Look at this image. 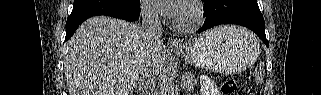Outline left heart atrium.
<instances>
[{"instance_id": "1", "label": "left heart atrium", "mask_w": 321, "mask_h": 95, "mask_svg": "<svg viewBox=\"0 0 321 95\" xmlns=\"http://www.w3.org/2000/svg\"><path fill=\"white\" fill-rule=\"evenodd\" d=\"M163 15L177 17L184 10L185 1L183 0H153Z\"/></svg>"}]
</instances>
